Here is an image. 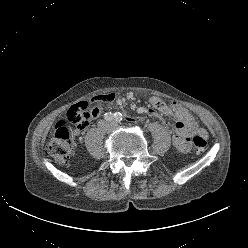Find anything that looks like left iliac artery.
<instances>
[{"label":"left iliac artery","instance_id":"obj_1","mask_svg":"<svg viewBox=\"0 0 248 248\" xmlns=\"http://www.w3.org/2000/svg\"><path fill=\"white\" fill-rule=\"evenodd\" d=\"M122 119H123V116H122V114H121L120 112H116V113L114 114V120H115L116 122H120V121H122Z\"/></svg>","mask_w":248,"mask_h":248}]
</instances>
